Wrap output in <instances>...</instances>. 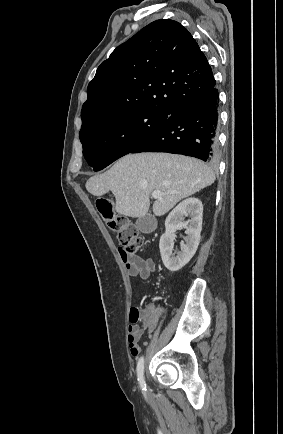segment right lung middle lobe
<instances>
[{"label": "right lung middle lobe", "mask_w": 283, "mask_h": 434, "mask_svg": "<svg viewBox=\"0 0 283 434\" xmlns=\"http://www.w3.org/2000/svg\"><path fill=\"white\" fill-rule=\"evenodd\" d=\"M170 114L147 109L130 111L81 130L79 138L85 159L95 171L105 168L130 153L159 128Z\"/></svg>", "instance_id": "dd1d6c3e"}]
</instances>
